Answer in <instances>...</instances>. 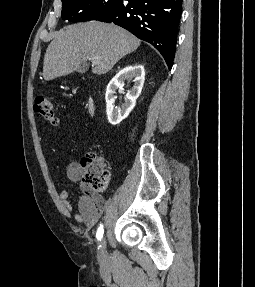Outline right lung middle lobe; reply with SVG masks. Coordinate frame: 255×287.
<instances>
[{
	"mask_svg": "<svg viewBox=\"0 0 255 287\" xmlns=\"http://www.w3.org/2000/svg\"><path fill=\"white\" fill-rule=\"evenodd\" d=\"M123 0H62V19L69 22L97 20Z\"/></svg>",
	"mask_w": 255,
	"mask_h": 287,
	"instance_id": "1",
	"label": "right lung middle lobe"
}]
</instances>
